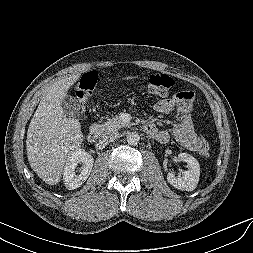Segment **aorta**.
<instances>
[{
	"label": "aorta",
	"mask_w": 253,
	"mask_h": 253,
	"mask_svg": "<svg viewBox=\"0 0 253 253\" xmlns=\"http://www.w3.org/2000/svg\"><path fill=\"white\" fill-rule=\"evenodd\" d=\"M126 139H127V143L129 145H137L140 140V137H139L138 133H136V132H129L127 134Z\"/></svg>",
	"instance_id": "aorta-1"
}]
</instances>
